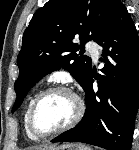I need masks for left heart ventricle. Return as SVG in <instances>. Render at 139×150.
<instances>
[{
	"label": "left heart ventricle",
	"mask_w": 139,
	"mask_h": 150,
	"mask_svg": "<svg viewBox=\"0 0 139 150\" xmlns=\"http://www.w3.org/2000/svg\"><path fill=\"white\" fill-rule=\"evenodd\" d=\"M76 111L73 97L65 92H54L42 99L35 113V126L48 132L67 124Z\"/></svg>",
	"instance_id": "left-heart-ventricle-1"
}]
</instances>
